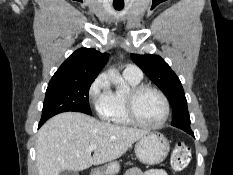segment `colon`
Masks as SVG:
<instances>
[{
  "instance_id": "5ec220e1",
  "label": "colon",
  "mask_w": 233,
  "mask_h": 175,
  "mask_svg": "<svg viewBox=\"0 0 233 175\" xmlns=\"http://www.w3.org/2000/svg\"><path fill=\"white\" fill-rule=\"evenodd\" d=\"M191 160V150L184 143L174 145L171 153L170 166L173 173L184 170Z\"/></svg>"
}]
</instances>
